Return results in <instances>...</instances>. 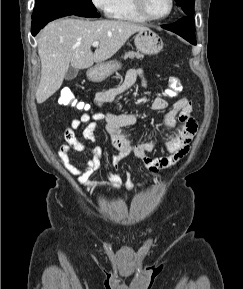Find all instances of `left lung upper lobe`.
Segmentation results:
<instances>
[{"mask_svg":"<svg viewBox=\"0 0 243 289\" xmlns=\"http://www.w3.org/2000/svg\"><path fill=\"white\" fill-rule=\"evenodd\" d=\"M187 15H192L195 0H175Z\"/></svg>","mask_w":243,"mask_h":289,"instance_id":"5c2ea615","label":"left lung upper lobe"}]
</instances>
